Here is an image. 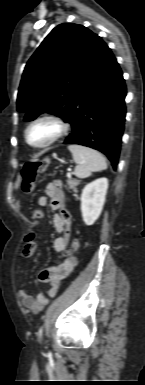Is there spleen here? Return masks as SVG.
<instances>
[{
	"instance_id": "obj_1",
	"label": "spleen",
	"mask_w": 145,
	"mask_h": 385,
	"mask_svg": "<svg viewBox=\"0 0 145 385\" xmlns=\"http://www.w3.org/2000/svg\"><path fill=\"white\" fill-rule=\"evenodd\" d=\"M68 149L77 164L74 174L78 178H87L92 172L105 170L107 168L104 156L92 148L71 144L68 146Z\"/></svg>"
}]
</instances>
